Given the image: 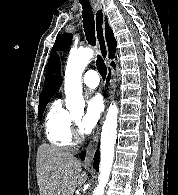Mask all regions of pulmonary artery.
Returning <instances> with one entry per match:
<instances>
[{
  "mask_svg": "<svg viewBox=\"0 0 178 195\" xmlns=\"http://www.w3.org/2000/svg\"><path fill=\"white\" fill-rule=\"evenodd\" d=\"M82 82H83L84 86L91 88V89H94V88L98 87L99 82H100V78H99V75L96 71L89 70L84 74Z\"/></svg>",
  "mask_w": 178,
  "mask_h": 195,
  "instance_id": "e3ab8cb5",
  "label": "pulmonary artery"
}]
</instances>
